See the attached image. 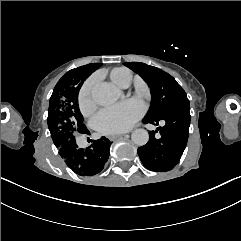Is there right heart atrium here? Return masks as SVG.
Segmentation results:
<instances>
[{
	"instance_id": "right-heart-atrium-1",
	"label": "right heart atrium",
	"mask_w": 241,
	"mask_h": 241,
	"mask_svg": "<svg viewBox=\"0 0 241 241\" xmlns=\"http://www.w3.org/2000/svg\"><path fill=\"white\" fill-rule=\"evenodd\" d=\"M78 105L82 114L89 115L95 109V104L90 98V92L87 88H84L80 91L78 96Z\"/></svg>"
}]
</instances>
